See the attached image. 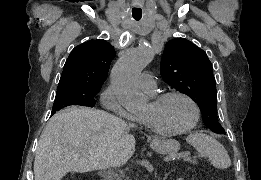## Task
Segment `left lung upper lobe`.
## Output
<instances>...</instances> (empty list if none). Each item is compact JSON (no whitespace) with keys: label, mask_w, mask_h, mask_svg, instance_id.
Returning a JSON list of instances; mask_svg holds the SVG:
<instances>
[{"label":"left lung upper lobe","mask_w":261,"mask_h":180,"mask_svg":"<svg viewBox=\"0 0 261 180\" xmlns=\"http://www.w3.org/2000/svg\"><path fill=\"white\" fill-rule=\"evenodd\" d=\"M160 73L168 85L197 103L206 127L216 133L225 132L218 123L212 65L202 49L184 38L169 41L162 56Z\"/></svg>","instance_id":"5c2ea615"}]
</instances>
